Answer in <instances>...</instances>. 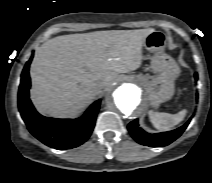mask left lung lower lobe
Returning <instances> with one entry per match:
<instances>
[{
	"label": "left lung lower lobe",
	"mask_w": 212,
	"mask_h": 183,
	"mask_svg": "<svg viewBox=\"0 0 212 183\" xmlns=\"http://www.w3.org/2000/svg\"><path fill=\"white\" fill-rule=\"evenodd\" d=\"M195 79L197 80L198 75L195 73ZM190 121L178 129L169 132H163L158 134H148L139 128L138 120H134L129 123L128 130L132 137L140 144L151 146V147H163L172 143L176 140L186 129Z\"/></svg>",
	"instance_id": "obj_1"
}]
</instances>
